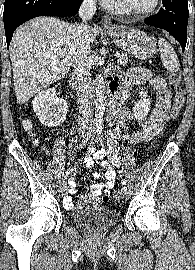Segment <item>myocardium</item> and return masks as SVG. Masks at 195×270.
Returning a JSON list of instances; mask_svg holds the SVG:
<instances>
[{"label":"myocardium","instance_id":"f54148a6","mask_svg":"<svg viewBox=\"0 0 195 270\" xmlns=\"http://www.w3.org/2000/svg\"><path fill=\"white\" fill-rule=\"evenodd\" d=\"M118 2H119L120 6L124 12H126L127 14L137 16V17H145L148 15H151L154 12H156L161 5V0H155L154 4L150 8L145 9V10H137V9H134L133 7H131L126 2V0H118Z\"/></svg>","mask_w":195,"mask_h":270}]
</instances>
